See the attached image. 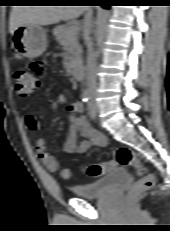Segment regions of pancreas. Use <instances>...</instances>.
Segmentation results:
<instances>
[{
    "instance_id": "cf45deb5",
    "label": "pancreas",
    "mask_w": 170,
    "mask_h": 231,
    "mask_svg": "<svg viewBox=\"0 0 170 231\" xmlns=\"http://www.w3.org/2000/svg\"><path fill=\"white\" fill-rule=\"evenodd\" d=\"M69 27V25H59L53 29V35L65 51L63 64L67 70L75 68L82 55V47L79 44L77 34L67 35Z\"/></svg>"
}]
</instances>
